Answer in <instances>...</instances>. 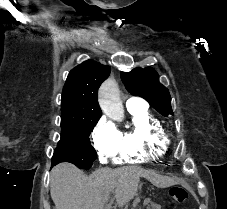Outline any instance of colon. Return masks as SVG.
<instances>
[{
	"instance_id": "5ec220e1",
	"label": "colon",
	"mask_w": 227,
	"mask_h": 209,
	"mask_svg": "<svg viewBox=\"0 0 227 209\" xmlns=\"http://www.w3.org/2000/svg\"><path fill=\"white\" fill-rule=\"evenodd\" d=\"M170 200L168 202V208L174 209L177 204L186 202L189 194L186 189L180 186H173L170 191Z\"/></svg>"
}]
</instances>
